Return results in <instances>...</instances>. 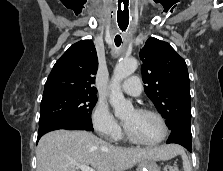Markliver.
<instances>
[{
  "label": "liver",
  "mask_w": 223,
  "mask_h": 171,
  "mask_svg": "<svg viewBox=\"0 0 223 171\" xmlns=\"http://www.w3.org/2000/svg\"><path fill=\"white\" fill-rule=\"evenodd\" d=\"M179 146L121 148L83 130H57L45 134L37 145V171H76V164L96 171H125L143 160H169Z\"/></svg>",
  "instance_id": "liver-1"
}]
</instances>
